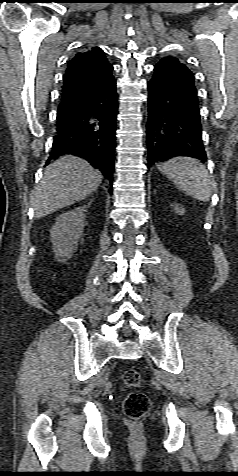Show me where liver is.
I'll use <instances>...</instances> for the list:
<instances>
[{"instance_id": "liver-1", "label": "liver", "mask_w": 238, "mask_h": 476, "mask_svg": "<svg viewBox=\"0 0 238 476\" xmlns=\"http://www.w3.org/2000/svg\"><path fill=\"white\" fill-rule=\"evenodd\" d=\"M103 175L78 157L66 155L48 165L31 197L35 217H45L58 209L85 199L101 184Z\"/></svg>"}]
</instances>
